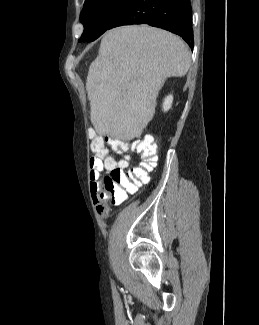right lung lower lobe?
<instances>
[{
	"mask_svg": "<svg viewBox=\"0 0 259 325\" xmlns=\"http://www.w3.org/2000/svg\"><path fill=\"white\" fill-rule=\"evenodd\" d=\"M130 24H148L171 31L193 47L190 0H128L108 29Z\"/></svg>",
	"mask_w": 259,
	"mask_h": 325,
	"instance_id": "98d812e1",
	"label": "right lung lower lobe"
}]
</instances>
